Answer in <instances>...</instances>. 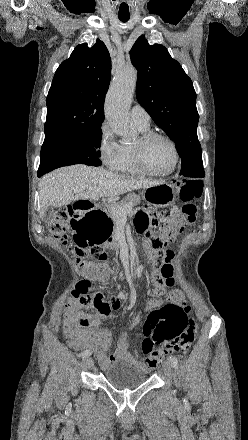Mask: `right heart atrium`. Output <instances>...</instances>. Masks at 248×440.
<instances>
[{
    "label": "right heart atrium",
    "mask_w": 248,
    "mask_h": 440,
    "mask_svg": "<svg viewBox=\"0 0 248 440\" xmlns=\"http://www.w3.org/2000/svg\"><path fill=\"white\" fill-rule=\"evenodd\" d=\"M97 151L105 166L111 170L117 169L122 159V145L107 123L101 125Z\"/></svg>",
    "instance_id": "right-heart-atrium-1"
}]
</instances>
